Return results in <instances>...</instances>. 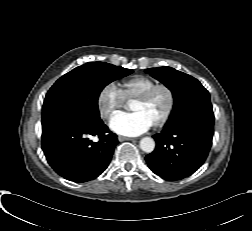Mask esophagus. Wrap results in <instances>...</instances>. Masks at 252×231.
Here are the masks:
<instances>
[{
    "label": "esophagus",
    "mask_w": 252,
    "mask_h": 231,
    "mask_svg": "<svg viewBox=\"0 0 252 231\" xmlns=\"http://www.w3.org/2000/svg\"><path fill=\"white\" fill-rule=\"evenodd\" d=\"M118 140L120 142H123V141H134L135 139L134 138H130V137H125V136H118Z\"/></svg>",
    "instance_id": "1"
}]
</instances>
